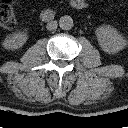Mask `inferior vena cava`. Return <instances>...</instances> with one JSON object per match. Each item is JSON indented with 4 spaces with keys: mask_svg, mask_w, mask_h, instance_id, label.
Instances as JSON below:
<instances>
[{
    "mask_svg": "<svg viewBox=\"0 0 128 128\" xmlns=\"http://www.w3.org/2000/svg\"><path fill=\"white\" fill-rule=\"evenodd\" d=\"M57 26H58L57 21H50L47 23L46 28L48 30H55Z\"/></svg>",
    "mask_w": 128,
    "mask_h": 128,
    "instance_id": "obj_1",
    "label": "inferior vena cava"
}]
</instances>
